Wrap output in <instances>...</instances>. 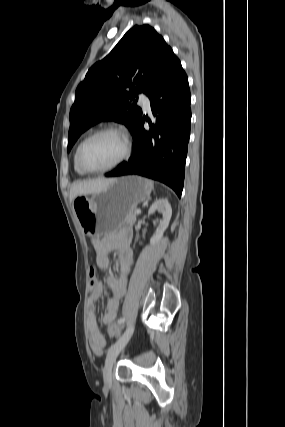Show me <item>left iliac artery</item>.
<instances>
[{"label": "left iliac artery", "instance_id": "left-iliac-artery-1", "mask_svg": "<svg viewBox=\"0 0 285 427\" xmlns=\"http://www.w3.org/2000/svg\"><path fill=\"white\" fill-rule=\"evenodd\" d=\"M125 322V318H120L119 320H118V323L119 324H122V323H124Z\"/></svg>", "mask_w": 285, "mask_h": 427}]
</instances>
